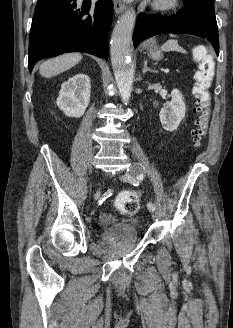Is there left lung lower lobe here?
Instances as JSON below:
<instances>
[{
    "label": "left lung lower lobe",
    "instance_id": "left-lung-lower-lobe-1",
    "mask_svg": "<svg viewBox=\"0 0 233 328\" xmlns=\"http://www.w3.org/2000/svg\"><path fill=\"white\" fill-rule=\"evenodd\" d=\"M185 7L176 15L140 13L133 36L134 46L161 33H183L207 38L219 54L218 27L214 7L198 0H184Z\"/></svg>",
    "mask_w": 233,
    "mask_h": 328
}]
</instances>
